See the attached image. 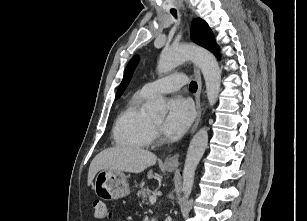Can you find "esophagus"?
Instances as JSON below:
<instances>
[{
  "mask_svg": "<svg viewBox=\"0 0 307 221\" xmlns=\"http://www.w3.org/2000/svg\"><path fill=\"white\" fill-rule=\"evenodd\" d=\"M194 74L197 80V84H198V88L197 91L195 93V103H196V110H197V116H196V120L193 124V127L191 129V134L195 132L200 120H201V115H202V103H201V92H202V78H201V74H200V70L197 67H194ZM179 153L167 157L164 160V165L165 167L168 168H176L179 165Z\"/></svg>",
  "mask_w": 307,
  "mask_h": 221,
  "instance_id": "1",
  "label": "esophagus"
}]
</instances>
